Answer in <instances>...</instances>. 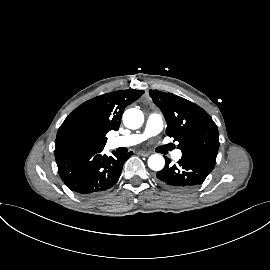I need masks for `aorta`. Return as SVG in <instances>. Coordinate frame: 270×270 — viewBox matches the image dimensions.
Segmentation results:
<instances>
[{"instance_id":"obj_1","label":"aorta","mask_w":270,"mask_h":270,"mask_svg":"<svg viewBox=\"0 0 270 270\" xmlns=\"http://www.w3.org/2000/svg\"><path fill=\"white\" fill-rule=\"evenodd\" d=\"M144 122L143 112L137 108H130L123 114V123L129 129H138ZM165 165L163 156L159 154L151 155L148 159V166L154 171H160Z\"/></svg>"}]
</instances>
